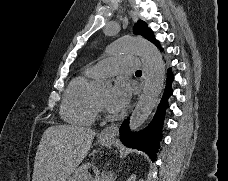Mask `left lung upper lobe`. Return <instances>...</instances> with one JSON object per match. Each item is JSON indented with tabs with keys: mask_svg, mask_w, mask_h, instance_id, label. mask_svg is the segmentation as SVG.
I'll return each mask as SVG.
<instances>
[{
	"mask_svg": "<svg viewBox=\"0 0 228 181\" xmlns=\"http://www.w3.org/2000/svg\"><path fill=\"white\" fill-rule=\"evenodd\" d=\"M134 34L142 35L146 39L155 43L156 40L150 28L147 27V24L143 21H138V23L134 27Z\"/></svg>",
	"mask_w": 228,
	"mask_h": 181,
	"instance_id": "5c2ea615",
	"label": "left lung upper lobe"
}]
</instances>
